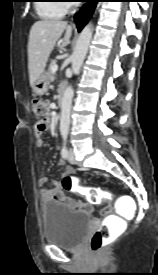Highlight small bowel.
Masks as SVG:
<instances>
[{
    "instance_id": "1",
    "label": "small bowel",
    "mask_w": 158,
    "mask_h": 275,
    "mask_svg": "<svg viewBox=\"0 0 158 275\" xmlns=\"http://www.w3.org/2000/svg\"><path fill=\"white\" fill-rule=\"evenodd\" d=\"M63 87V86H62ZM61 87V88H62ZM49 128V123H48ZM47 128V129H48ZM44 131H38L35 128V137H36V144L39 147L43 146V139L42 134ZM64 160L60 159L58 161V165H63ZM72 169L68 168L65 171V175H69L71 173ZM38 183L41 187V199L43 203H51V202H60L66 207L74 210H78L84 213H92L93 212V206L91 202H84L80 200H76L72 197H69L65 194V191L63 190L61 182H58L53 179H49L47 177H40L38 180ZM52 185L53 188H49L48 186Z\"/></svg>"
}]
</instances>
